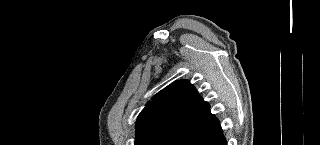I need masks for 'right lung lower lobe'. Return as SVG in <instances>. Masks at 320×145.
Masks as SVG:
<instances>
[{
	"label": "right lung lower lobe",
	"instance_id": "right-lung-lower-lobe-1",
	"mask_svg": "<svg viewBox=\"0 0 320 145\" xmlns=\"http://www.w3.org/2000/svg\"><path fill=\"white\" fill-rule=\"evenodd\" d=\"M167 145H227L216 117L176 134Z\"/></svg>",
	"mask_w": 320,
	"mask_h": 145
}]
</instances>
